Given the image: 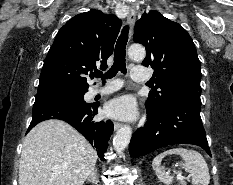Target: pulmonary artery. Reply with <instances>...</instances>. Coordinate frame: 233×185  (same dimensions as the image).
<instances>
[{
    "instance_id": "1",
    "label": "pulmonary artery",
    "mask_w": 233,
    "mask_h": 185,
    "mask_svg": "<svg viewBox=\"0 0 233 185\" xmlns=\"http://www.w3.org/2000/svg\"><path fill=\"white\" fill-rule=\"evenodd\" d=\"M131 77L134 81L144 82L148 79V71L143 67H133L131 70ZM120 88V82L111 80L103 87H96L93 90L94 95L110 94Z\"/></svg>"
}]
</instances>
